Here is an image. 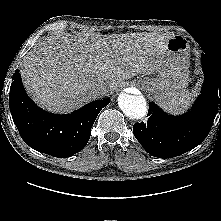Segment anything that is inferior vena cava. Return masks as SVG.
Masks as SVG:
<instances>
[{
	"label": "inferior vena cava",
	"mask_w": 221,
	"mask_h": 221,
	"mask_svg": "<svg viewBox=\"0 0 221 221\" xmlns=\"http://www.w3.org/2000/svg\"><path fill=\"white\" fill-rule=\"evenodd\" d=\"M93 92L95 95L104 96L108 92V85L106 83H97L93 86Z\"/></svg>",
	"instance_id": "obj_1"
}]
</instances>
